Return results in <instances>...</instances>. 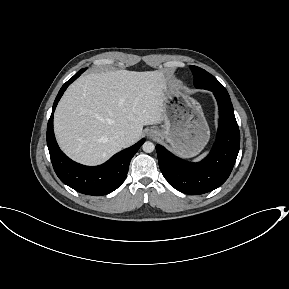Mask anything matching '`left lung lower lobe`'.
I'll return each mask as SVG.
<instances>
[{
    "instance_id": "obj_1",
    "label": "left lung lower lobe",
    "mask_w": 289,
    "mask_h": 289,
    "mask_svg": "<svg viewBox=\"0 0 289 289\" xmlns=\"http://www.w3.org/2000/svg\"><path fill=\"white\" fill-rule=\"evenodd\" d=\"M219 106V127L209 155L199 163L184 161L157 145L159 167L168 183L180 192L200 195L222 185L235 164L240 133L228 92L212 91Z\"/></svg>"
}]
</instances>
